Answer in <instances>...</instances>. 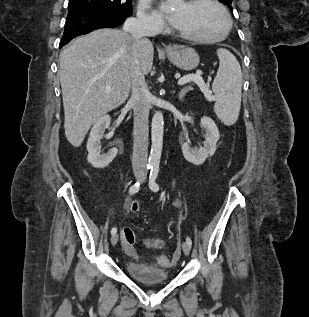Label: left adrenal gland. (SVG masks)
Returning a JSON list of instances; mask_svg holds the SVG:
<instances>
[{
    "label": "left adrenal gland",
    "instance_id": "obj_1",
    "mask_svg": "<svg viewBox=\"0 0 309 317\" xmlns=\"http://www.w3.org/2000/svg\"><path fill=\"white\" fill-rule=\"evenodd\" d=\"M190 90H192L191 87H185V88L181 89V91H180V93H179V99L182 100L183 97L185 96V94H186L188 91H190Z\"/></svg>",
    "mask_w": 309,
    "mask_h": 317
}]
</instances>
